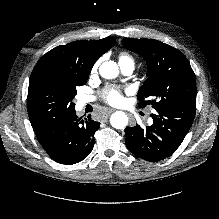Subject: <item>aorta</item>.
Masks as SVG:
<instances>
[{
	"instance_id": "aorta-1",
	"label": "aorta",
	"mask_w": 219,
	"mask_h": 219,
	"mask_svg": "<svg viewBox=\"0 0 219 219\" xmlns=\"http://www.w3.org/2000/svg\"><path fill=\"white\" fill-rule=\"evenodd\" d=\"M99 73L105 79H113L119 74V68L114 61H106L100 65ZM110 124L115 129H124L128 125V116L122 111L114 112Z\"/></svg>"
}]
</instances>
